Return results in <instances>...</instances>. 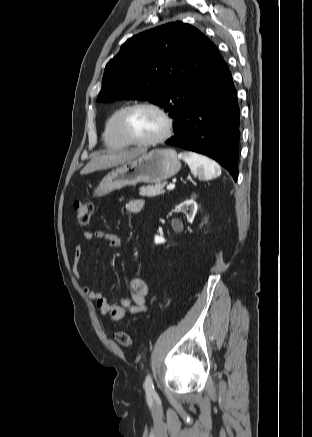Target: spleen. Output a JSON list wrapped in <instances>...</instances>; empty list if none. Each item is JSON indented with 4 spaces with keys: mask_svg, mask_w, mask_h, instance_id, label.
<instances>
[{
    "mask_svg": "<svg viewBox=\"0 0 312 437\" xmlns=\"http://www.w3.org/2000/svg\"><path fill=\"white\" fill-rule=\"evenodd\" d=\"M179 158L183 159L190 167L191 172L200 178L210 180L221 174L220 166L206 156L188 151L180 153Z\"/></svg>",
    "mask_w": 312,
    "mask_h": 437,
    "instance_id": "spleen-1",
    "label": "spleen"
}]
</instances>
